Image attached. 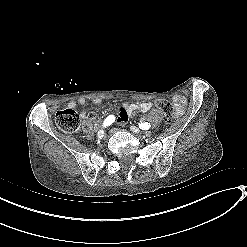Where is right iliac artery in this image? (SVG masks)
Wrapping results in <instances>:
<instances>
[{"label":"right iliac artery","instance_id":"82829eb1","mask_svg":"<svg viewBox=\"0 0 247 247\" xmlns=\"http://www.w3.org/2000/svg\"><path fill=\"white\" fill-rule=\"evenodd\" d=\"M115 121V117L113 115H109L103 123L104 127L110 126Z\"/></svg>","mask_w":247,"mask_h":247}]
</instances>
